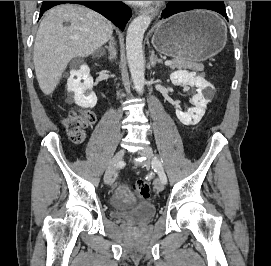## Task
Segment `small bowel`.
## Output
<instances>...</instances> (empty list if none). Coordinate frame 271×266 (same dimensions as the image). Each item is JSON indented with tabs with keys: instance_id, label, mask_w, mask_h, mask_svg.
Wrapping results in <instances>:
<instances>
[{
	"instance_id": "1",
	"label": "small bowel",
	"mask_w": 271,
	"mask_h": 266,
	"mask_svg": "<svg viewBox=\"0 0 271 266\" xmlns=\"http://www.w3.org/2000/svg\"><path fill=\"white\" fill-rule=\"evenodd\" d=\"M135 201L134 194L130 191L126 184L119 185L112 197V202L115 206L121 207L129 205Z\"/></svg>"
}]
</instances>
